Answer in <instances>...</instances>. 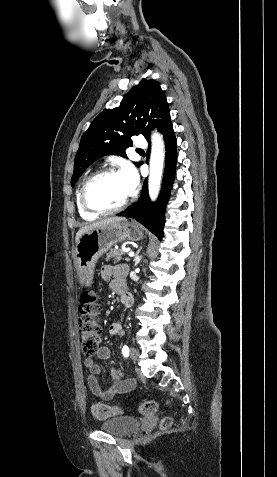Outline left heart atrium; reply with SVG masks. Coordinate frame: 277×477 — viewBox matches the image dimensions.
Masks as SVG:
<instances>
[{
	"mask_svg": "<svg viewBox=\"0 0 277 477\" xmlns=\"http://www.w3.org/2000/svg\"><path fill=\"white\" fill-rule=\"evenodd\" d=\"M119 173L124 182L128 195L133 194L139 184V177L136 169L132 165L126 164L122 167Z\"/></svg>",
	"mask_w": 277,
	"mask_h": 477,
	"instance_id": "obj_1",
	"label": "left heart atrium"
}]
</instances>
